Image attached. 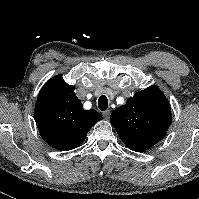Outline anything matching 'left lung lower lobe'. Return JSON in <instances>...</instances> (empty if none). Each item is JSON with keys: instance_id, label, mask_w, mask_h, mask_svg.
Returning <instances> with one entry per match:
<instances>
[{"instance_id": "1", "label": "left lung lower lobe", "mask_w": 199, "mask_h": 199, "mask_svg": "<svg viewBox=\"0 0 199 199\" xmlns=\"http://www.w3.org/2000/svg\"><path fill=\"white\" fill-rule=\"evenodd\" d=\"M120 138L128 148L136 152H144L153 146L150 143L139 141L125 136H120Z\"/></svg>"}]
</instances>
